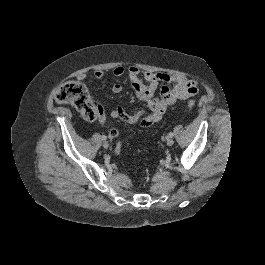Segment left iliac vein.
I'll use <instances>...</instances> for the list:
<instances>
[{"mask_svg":"<svg viewBox=\"0 0 265 265\" xmlns=\"http://www.w3.org/2000/svg\"><path fill=\"white\" fill-rule=\"evenodd\" d=\"M166 143L168 146H172L174 144V140L172 138H167Z\"/></svg>","mask_w":265,"mask_h":265,"instance_id":"obj_1","label":"left iliac vein"}]
</instances>
